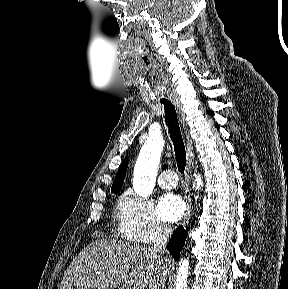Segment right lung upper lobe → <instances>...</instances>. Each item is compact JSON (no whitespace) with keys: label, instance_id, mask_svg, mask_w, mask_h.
I'll return each instance as SVG.
<instances>
[{"label":"right lung upper lobe","instance_id":"obj_1","mask_svg":"<svg viewBox=\"0 0 288 289\" xmlns=\"http://www.w3.org/2000/svg\"><path fill=\"white\" fill-rule=\"evenodd\" d=\"M127 166H128V159L125 158L119 167V170L117 172V175L115 177V180H114L112 188H111V192L117 191V190L120 191L122 183H123L124 178H125Z\"/></svg>","mask_w":288,"mask_h":289}]
</instances>
